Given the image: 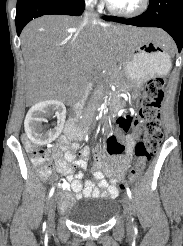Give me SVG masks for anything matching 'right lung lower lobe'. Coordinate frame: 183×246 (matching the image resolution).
<instances>
[{"label": "right lung lower lobe", "instance_id": "obj_1", "mask_svg": "<svg viewBox=\"0 0 183 246\" xmlns=\"http://www.w3.org/2000/svg\"><path fill=\"white\" fill-rule=\"evenodd\" d=\"M84 9V0H17V34L19 36L24 26L34 18L51 14L79 16Z\"/></svg>", "mask_w": 183, "mask_h": 246}]
</instances>
